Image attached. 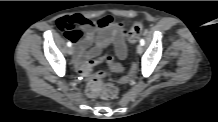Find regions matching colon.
<instances>
[{
  "label": "colon",
  "instance_id": "1",
  "mask_svg": "<svg viewBox=\"0 0 218 122\" xmlns=\"http://www.w3.org/2000/svg\"><path fill=\"white\" fill-rule=\"evenodd\" d=\"M58 25L60 29L64 30L69 38L76 39L80 36V32L71 25L69 19L62 18L58 21ZM143 30V24L140 22L134 23L129 32H128V40L130 42H135L140 33ZM115 54L114 53H97L95 57H91L85 63L81 64L77 69L78 77H88V84L86 87V92L91 97L102 96L104 98H114L118 89L113 84H104L103 79L107 76L105 71L92 72L93 69L100 66H112L115 62ZM137 65L135 63L132 64L131 70L128 71L127 77L118 76L117 82L119 84L131 85L134 82V78L136 76Z\"/></svg>",
  "mask_w": 218,
  "mask_h": 122
}]
</instances>
